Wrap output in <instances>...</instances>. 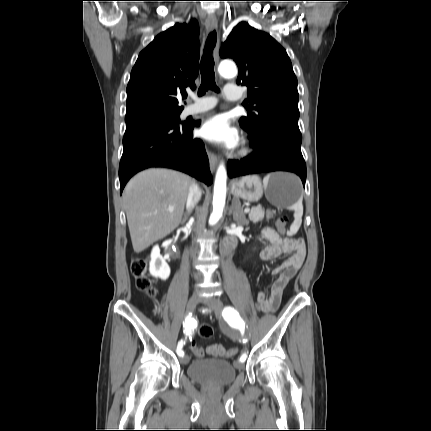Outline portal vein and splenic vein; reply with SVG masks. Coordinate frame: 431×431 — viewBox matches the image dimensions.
I'll return each instance as SVG.
<instances>
[{
  "label": "portal vein and splenic vein",
  "mask_w": 431,
  "mask_h": 431,
  "mask_svg": "<svg viewBox=\"0 0 431 431\" xmlns=\"http://www.w3.org/2000/svg\"><path fill=\"white\" fill-rule=\"evenodd\" d=\"M168 211L172 213L174 211V209L173 208H169ZM248 212H250V208H246L244 210V213H248Z\"/></svg>",
  "instance_id": "obj_1"
}]
</instances>
